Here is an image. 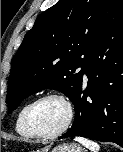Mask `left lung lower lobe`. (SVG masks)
<instances>
[{
  "label": "left lung lower lobe",
  "mask_w": 123,
  "mask_h": 152,
  "mask_svg": "<svg viewBox=\"0 0 123 152\" xmlns=\"http://www.w3.org/2000/svg\"><path fill=\"white\" fill-rule=\"evenodd\" d=\"M89 83L73 104L75 120L59 139L82 136L123 147V1L83 66ZM90 99L87 100V98Z\"/></svg>",
  "instance_id": "obj_1"
}]
</instances>
